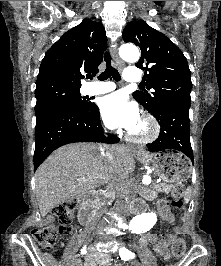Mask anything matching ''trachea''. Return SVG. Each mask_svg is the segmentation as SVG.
<instances>
[{"label":"trachea","instance_id":"trachea-1","mask_svg":"<svg viewBox=\"0 0 221 266\" xmlns=\"http://www.w3.org/2000/svg\"><path fill=\"white\" fill-rule=\"evenodd\" d=\"M104 59L106 62V69L104 72H102L98 76V79L103 81V80H106V79L112 77L115 81H120L121 76H120L119 72L111 65V56H110L109 52H105ZM92 78H93V76H91V75L87 76V79H92Z\"/></svg>","mask_w":221,"mask_h":266}]
</instances>
